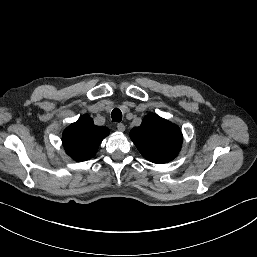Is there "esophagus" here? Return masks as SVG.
<instances>
[{
	"label": "esophagus",
	"instance_id": "34e87169",
	"mask_svg": "<svg viewBox=\"0 0 257 257\" xmlns=\"http://www.w3.org/2000/svg\"><path fill=\"white\" fill-rule=\"evenodd\" d=\"M117 129L119 132H124L125 131V125L123 123H118L117 124Z\"/></svg>",
	"mask_w": 257,
	"mask_h": 257
}]
</instances>
